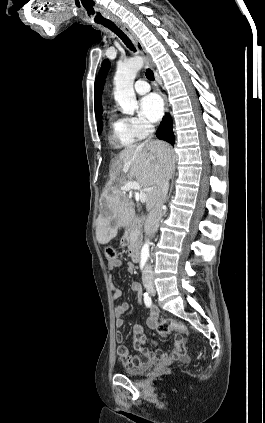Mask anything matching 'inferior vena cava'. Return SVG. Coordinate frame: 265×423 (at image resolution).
Wrapping results in <instances>:
<instances>
[{
	"instance_id": "602c4592",
	"label": "inferior vena cava",
	"mask_w": 265,
	"mask_h": 423,
	"mask_svg": "<svg viewBox=\"0 0 265 423\" xmlns=\"http://www.w3.org/2000/svg\"><path fill=\"white\" fill-rule=\"evenodd\" d=\"M148 132H149V138L144 141L143 144H147L151 138L153 137V133L155 132V128L153 125L148 126ZM169 188V180L165 179L162 183L160 193L158 195V199L155 203L154 208L149 214L148 220L146 221V224L144 226V232L147 236H153L155 232L158 229L159 220L162 216V206L165 202L167 193ZM153 270L152 266L147 264L144 267L143 273H142V279L147 280L148 278L152 277Z\"/></svg>"
}]
</instances>
